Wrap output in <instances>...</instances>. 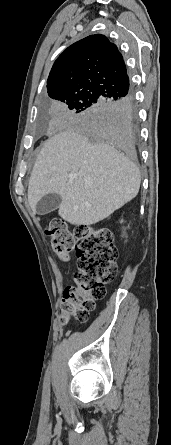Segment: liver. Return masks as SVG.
Instances as JSON below:
<instances>
[{
    "label": "liver",
    "instance_id": "obj_1",
    "mask_svg": "<svg viewBox=\"0 0 171 445\" xmlns=\"http://www.w3.org/2000/svg\"><path fill=\"white\" fill-rule=\"evenodd\" d=\"M140 182L138 167L123 153L66 129L43 145L29 180L28 201L36 213L42 197L57 193L62 198L59 216L88 226L135 198Z\"/></svg>",
    "mask_w": 171,
    "mask_h": 445
}]
</instances>
